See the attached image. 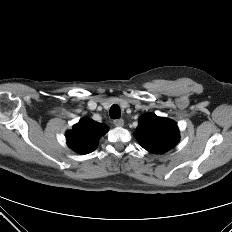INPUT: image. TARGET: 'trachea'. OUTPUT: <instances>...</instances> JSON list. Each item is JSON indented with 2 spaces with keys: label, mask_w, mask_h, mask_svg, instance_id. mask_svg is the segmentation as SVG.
I'll use <instances>...</instances> for the list:
<instances>
[{
  "label": "trachea",
  "mask_w": 232,
  "mask_h": 232,
  "mask_svg": "<svg viewBox=\"0 0 232 232\" xmlns=\"http://www.w3.org/2000/svg\"><path fill=\"white\" fill-rule=\"evenodd\" d=\"M121 116V111L118 105L114 104L110 108V118L111 119H118Z\"/></svg>",
  "instance_id": "trachea-1"
}]
</instances>
